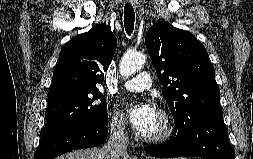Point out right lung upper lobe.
Segmentation results:
<instances>
[{"mask_svg":"<svg viewBox=\"0 0 253 159\" xmlns=\"http://www.w3.org/2000/svg\"><path fill=\"white\" fill-rule=\"evenodd\" d=\"M116 47L115 35L104 24L72 38L60 51L48 98L98 90Z\"/></svg>","mask_w":253,"mask_h":159,"instance_id":"right-lung-upper-lobe-1","label":"right lung upper lobe"}]
</instances>
